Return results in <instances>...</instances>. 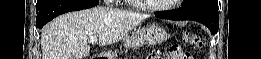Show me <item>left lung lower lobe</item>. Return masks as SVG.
Returning <instances> with one entry per match:
<instances>
[{"label":"left lung lower lobe","instance_id":"left-lung-lower-lobe-1","mask_svg":"<svg viewBox=\"0 0 261 59\" xmlns=\"http://www.w3.org/2000/svg\"><path fill=\"white\" fill-rule=\"evenodd\" d=\"M156 16L172 20H194L207 26L211 34H215L219 27L218 6L197 4L166 13L159 12Z\"/></svg>","mask_w":261,"mask_h":59}]
</instances>
